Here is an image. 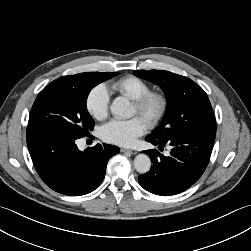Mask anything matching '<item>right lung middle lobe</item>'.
Wrapping results in <instances>:
<instances>
[{
  "label": "right lung middle lobe",
  "instance_id": "right-lung-middle-lobe-1",
  "mask_svg": "<svg viewBox=\"0 0 251 251\" xmlns=\"http://www.w3.org/2000/svg\"><path fill=\"white\" fill-rule=\"evenodd\" d=\"M118 73H80L74 82L47 85L37 96L29 116L28 127L62 136L82 138L94 128L86 109L89 92L99 83Z\"/></svg>",
  "mask_w": 251,
  "mask_h": 251
}]
</instances>
